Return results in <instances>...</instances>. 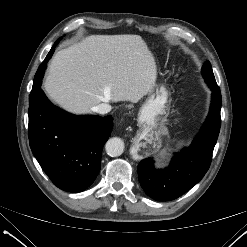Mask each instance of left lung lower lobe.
I'll return each mask as SVG.
<instances>
[{
    "label": "left lung lower lobe",
    "mask_w": 247,
    "mask_h": 247,
    "mask_svg": "<svg viewBox=\"0 0 247 247\" xmlns=\"http://www.w3.org/2000/svg\"><path fill=\"white\" fill-rule=\"evenodd\" d=\"M211 90L208 117L192 145L176 154L166 169H156L152 158L139 163V182L151 198L157 201L176 199L197 184L209 169L221 126L220 89Z\"/></svg>",
    "instance_id": "left-lung-lower-lobe-1"
}]
</instances>
